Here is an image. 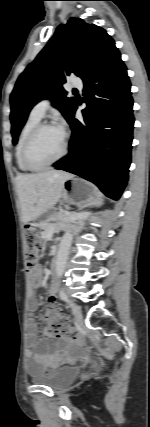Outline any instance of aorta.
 <instances>
[{
	"label": "aorta",
	"instance_id": "obj_1",
	"mask_svg": "<svg viewBox=\"0 0 150 427\" xmlns=\"http://www.w3.org/2000/svg\"><path fill=\"white\" fill-rule=\"evenodd\" d=\"M72 239H73L72 229H68L64 233L61 239L59 249L57 252L55 271L58 278H61L63 276L69 251H70V247L72 244Z\"/></svg>",
	"mask_w": 150,
	"mask_h": 427
}]
</instances>
